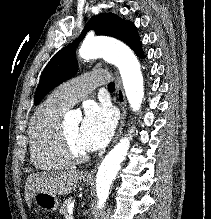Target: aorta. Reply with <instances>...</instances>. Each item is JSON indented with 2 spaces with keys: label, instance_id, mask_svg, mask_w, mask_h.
Wrapping results in <instances>:
<instances>
[{
  "label": "aorta",
  "instance_id": "1",
  "mask_svg": "<svg viewBox=\"0 0 211 219\" xmlns=\"http://www.w3.org/2000/svg\"><path fill=\"white\" fill-rule=\"evenodd\" d=\"M79 55L83 59L103 57L120 71L125 93L131 108L139 110L144 97L143 76L140 63L132 50L124 44L102 41L98 38L86 39ZM130 146V137H125L114 146L101 162L96 175L98 208H103L109 196L110 187L120 164L125 159Z\"/></svg>",
  "mask_w": 211,
  "mask_h": 219
}]
</instances>
